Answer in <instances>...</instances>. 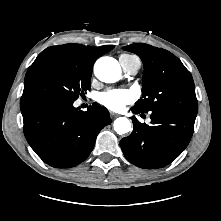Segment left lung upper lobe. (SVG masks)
<instances>
[{
	"mask_svg": "<svg viewBox=\"0 0 221 221\" xmlns=\"http://www.w3.org/2000/svg\"><path fill=\"white\" fill-rule=\"evenodd\" d=\"M123 49L137 54L144 64L143 99L133 109L143 113L173 110L197 115L193 78L175 55L144 43L131 44Z\"/></svg>",
	"mask_w": 221,
	"mask_h": 221,
	"instance_id": "5c2ea615",
	"label": "left lung upper lobe"
}]
</instances>
